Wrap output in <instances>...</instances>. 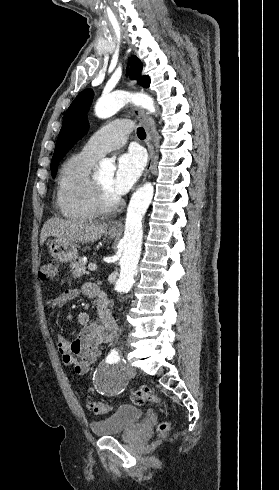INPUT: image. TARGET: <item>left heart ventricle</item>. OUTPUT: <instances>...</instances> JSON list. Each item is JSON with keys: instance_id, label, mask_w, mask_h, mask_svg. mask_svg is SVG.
<instances>
[{"instance_id": "1", "label": "left heart ventricle", "mask_w": 279, "mask_h": 490, "mask_svg": "<svg viewBox=\"0 0 279 490\" xmlns=\"http://www.w3.org/2000/svg\"><path fill=\"white\" fill-rule=\"evenodd\" d=\"M98 184H100L102 187L106 188L107 191H108V194L111 196V197H114L111 193V184H112V176L109 175V176H104V177H101L100 179H98L96 181Z\"/></svg>"}]
</instances>
